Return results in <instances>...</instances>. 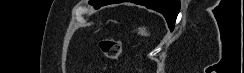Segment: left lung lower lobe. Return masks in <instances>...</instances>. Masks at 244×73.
Returning a JSON list of instances; mask_svg holds the SVG:
<instances>
[{
  "instance_id": "obj_1",
  "label": "left lung lower lobe",
  "mask_w": 244,
  "mask_h": 73,
  "mask_svg": "<svg viewBox=\"0 0 244 73\" xmlns=\"http://www.w3.org/2000/svg\"><path fill=\"white\" fill-rule=\"evenodd\" d=\"M124 1L140 4L149 9L160 12L165 17L170 30L172 31L174 29L176 17L180 9L179 0H100V4L108 5Z\"/></svg>"
}]
</instances>
